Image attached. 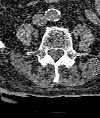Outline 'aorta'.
Masks as SVG:
<instances>
[{"instance_id":"1","label":"aorta","mask_w":100,"mask_h":118,"mask_svg":"<svg viewBox=\"0 0 100 118\" xmlns=\"http://www.w3.org/2000/svg\"><path fill=\"white\" fill-rule=\"evenodd\" d=\"M46 17L49 21H58L61 18V12L55 8H50L46 11Z\"/></svg>"}]
</instances>
